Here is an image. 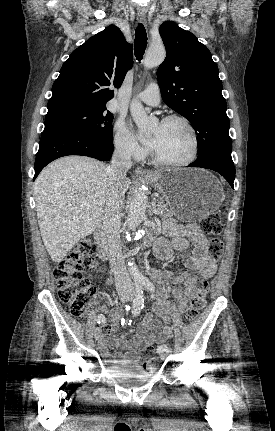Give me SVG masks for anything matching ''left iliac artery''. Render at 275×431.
Segmentation results:
<instances>
[{
    "mask_svg": "<svg viewBox=\"0 0 275 431\" xmlns=\"http://www.w3.org/2000/svg\"><path fill=\"white\" fill-rule=\"evenodd\" d=\"M142 285L145 287V289L147 290V291H149V292H154V290H155V287H154V285H153V283L150 281V280H148V279H145V280H143V282H142ZM168 347H167V345H161V346H159L158 348H157V353H159V354H161L163 351H165L166 349H167Z\"/></svg>",
    "mask_w": 275,
    "mask_h": 431,
    "instance_id": "44dca946",
    "label": "left iliac artery"
}]
</instances>
